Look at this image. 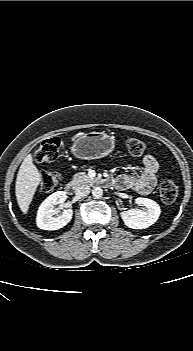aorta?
<instances>
[{
    "label": "aorta",
    "instance_id": "aorta-1",
    "mask_svg": "<svg viewBox=\"0 0 193 351\" xmlns=\"http://www.w3.org/2000/svg\"><path fill=\"white\" fill-rule=\"evenodd\" d=\"M92 195L94 198H101L103 195V190L100 187H94L92 190Z\"/></svg>",
    "mask_w": 193,
    "mask_h": 351
}]
</instances>
